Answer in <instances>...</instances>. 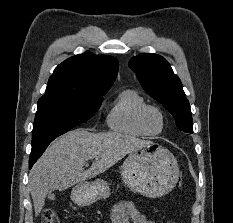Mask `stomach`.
<instances>
[{
	"label": "stomach",
	"mask_w": 233,
	"mask_h": 223,
	"mask_svg": "<svg viewBox=\"0 0 233 223\" xmlns=\"http://www.w3.org/2000/svg\"><path fill=\"white\" fill-rule=\"evenodd\" d=\"M180 175L179 165L171 151L154 143L144 141L128 153L121 165V179L131 191L145 197H162L168 193ZM111 189L105 179L83 181L71 191V199L77 205H91L98 199L110 197Z\"/></svg>",
	"instance_id": "1"
}]
</instances>
